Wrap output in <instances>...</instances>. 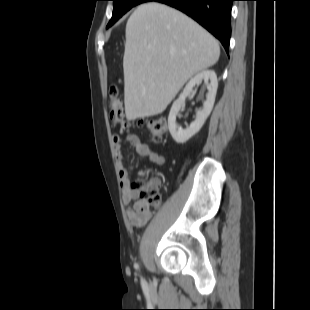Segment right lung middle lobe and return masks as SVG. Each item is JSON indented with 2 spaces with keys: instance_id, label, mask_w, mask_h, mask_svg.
<instances>
[{
  "instance_id": "1",
  "label": "right lung middle lobe",
  "mask_w": 310,
  "mask_h": 310,
  "mask_svg": "<svg viewBox=\"0 0 310 310\" xmlns=\"http://www.w3.org/2000/svg\"><path fill=\"white\" fill-rule=\"evenodd\" d=\"M114 1L113 15L107 28L112 26L123 14H125L132 7L146 2L148 0H112Z\"/></svg>"
}]
</instances>
